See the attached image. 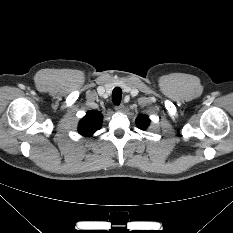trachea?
Listing matches in <instances>:
<instances>
[{
  "label": "trachea",
  "mask_w": 233,
  "mask_h": 233,
  "mask_svg": "<svg viewBox=\"0 0 233 233\" xmlns=\"http://www.w3.org/2000/svg\"><path fill=\"white\" fill-rule=\"evenodd\" d=\"M122 98V90L119 87L114 88L112 93V101L115 105H119L121 103Z\"/></svg>",
  "instance_id": "trachea-1"
}]
</instances>
